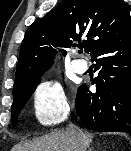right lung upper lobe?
<instances>
[{
    "instance_id": "1",
    "label": "right lung upper lobe",
    "mask_w": 131,
    "mask_h": 151,
    "mask_svg": "<svg viewBox=\"0 0 131 151\" xmlns=\"http://www.w3.org/2000/svg\"><path fill=\"white\" fill-rule=\"evenodd\" d=\"M129 32L131 17L124 0H63L27 29L13 90L44 73L53 63L57 46L70 48L78 40L91 55ZM81 37L88 39L81 43Z\"/></svg>"
}]
</instances>
